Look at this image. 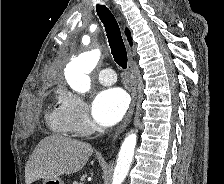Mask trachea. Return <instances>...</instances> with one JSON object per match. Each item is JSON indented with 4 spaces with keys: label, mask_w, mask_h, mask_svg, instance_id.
I'll return each instance as SVG.
<instances>
[{
    "label": "trachea",
    "mask_w": 224,
    "mask_h": 184,
    "mask_svg": "<svg viewBox=\"0 0 224 184\" xmlns=\"http://www.w3.org/2000/svg\"><path fill=\"white\" fill-rule=\"evenodd\" d=\"M97 14L104 24L109 46L111 48V53L115 62L122 68L126 69L127 67V52L121 36L119 25L105 5L97 4L96 8Z\"/></svg>",
    "instance_id": "obj_1"
}]
</instances>
